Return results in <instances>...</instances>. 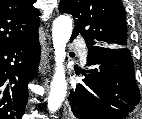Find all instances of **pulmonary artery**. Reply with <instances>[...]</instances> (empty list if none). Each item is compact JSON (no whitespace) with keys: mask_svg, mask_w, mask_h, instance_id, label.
<instances>
[{"mask_svg":"<svg viewBox=\"0 0 142 119\" xmlns=\"http://www.w3.org/2000/svg\"><path fill=\"white\" fill-rule=\"evenodd\" d=\"M73 44L77 45L79 47V56L82 63H86L87 60V49L86 47L81 43L80 40H74Z\"/></svg>","mask_w":142,"mask_h":119,"instance_id":"1","label":"pulmonary artery"}]
</instances>
